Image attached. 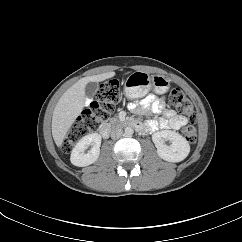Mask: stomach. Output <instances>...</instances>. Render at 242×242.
<instances>
[{"label":"stomach","instance_id":"0dacf381","mask_svg":"<svg viewBox=\"0 0 242 242\" xmlns=\"http://www.w3.org/2000/svg\"><path fill=\"white\" fill-rule=\"evenodd\" d=\"M170 88V80L163 75H149L144 71H135L125 82V94L130 99L144 97L151 89L164 94Z\"/></svg>","mask_w":242,"mask_h":242}]
</instances>
